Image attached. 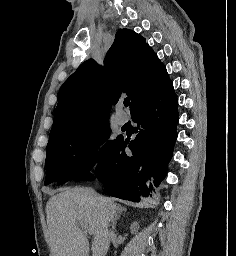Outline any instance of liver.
Listing matches in <instances>:
<instances>
[{
    "instance_id": "obj_1",
    "label": "liver",
    "mask_w": 236,
    "mask_h": 256,
    "mask_svg": "<svg viewBox=\"0 0 236 256\" xmlns=\"http://www.w3.org/2000/svg\"><path fill=\"white\" fill-rule=\"evenodd\" d=\"M46 204L49 246L52 256H89V242L77 222L93 234L92 256H106L110 246L109 222L122 210L112 198L89 188H60Z\"/></svg>"
}]
</instances>
